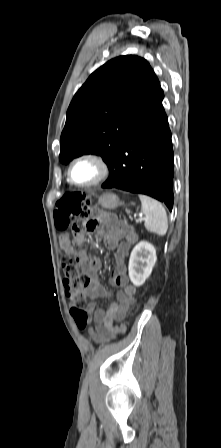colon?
<instances>
[{
	"label": "colon",
	"mask_w": 221,
	"mask_h": 448,
	"mask_svg": "<svg viewBox=\"0 0 221 448\" xmlns=\"http://www.w3.org/2000/svg\"><path fill=\"white\" fill-rule=\"evenodd\" d=\"M91 214L90 201L85 195L79 192L67 193L56 203L54 213L56 228L63 230L71 226L74 236L83 237L96 226ZM61 265L65 292L72 303V316L77 326L84 329L90 323V315L86 309V290L90 277L70 258H64Z\"/></svg>",
	"instance_id": "5ec220e1"
}]
</instances>
